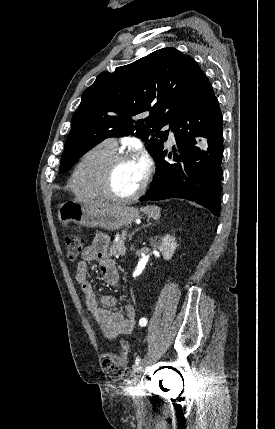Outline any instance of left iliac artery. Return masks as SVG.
Segmentation results:
<instances>
[{
    "instance_id": "1",
    "label": "left iliac artery",
    "mask_w": 275,
    "mask_h": 429,
    "mask_svg": "<svg viewBox=\"0 0 275 429\" xmlns=\"http://www.w3.org/2000/svg\"><path fill=\"white\" fill-rule=\"evenodd\" d=\"M139 325L141 326V327H144V326H146L147 325V319L145 318V317H142L140 320H139ZM139 361H140V359L139 358H137L136 359V365H138V363H139Z\"/></svg>"
}]
</instances>
